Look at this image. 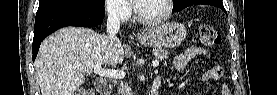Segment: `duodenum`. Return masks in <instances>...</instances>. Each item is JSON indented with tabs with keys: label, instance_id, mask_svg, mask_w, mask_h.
<instances>
[{
	"label": "duodenum",
	"instance_id": "410a0bca",
	"mask_svg": "<svg viewBox=\"0 0 277 95\" xmlns=\"http://www.w3.org/2000/svg\"><path fill=\"white\" fill-rule=\"evenodd\" d=\"M161 84V80L155 79L152 84H151V90H150V95H159V87ZM95 89L98 94L102 95H110L112 92L111 85L107 82H98L95 86Z\"/></svg>",
	"mask_w": 277,
	"mask_h": 95
}]
</instances>
